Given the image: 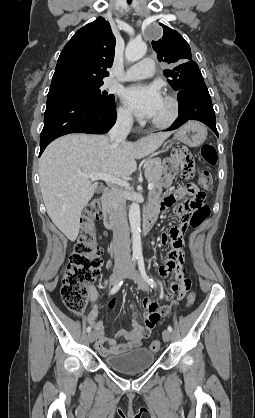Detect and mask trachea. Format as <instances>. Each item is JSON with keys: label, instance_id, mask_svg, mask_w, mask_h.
<instances>
[{"label": "trachea", "instance_id": "obj_1", "mask_svg": "<svg viewBox=\"0 0 255 418\" xmlns=\"http://www.w3.org/2000/svg\"><path fill=\"white\" fill-rule=\"evenodd\" d=\"M127 1H128V3L130 4L132 0H127Z\"/></svg>", "mask_w": 255, "mask_h": 418}]
</instances>
